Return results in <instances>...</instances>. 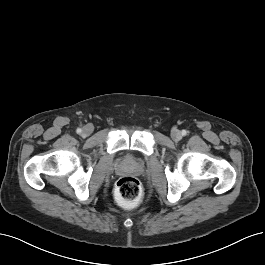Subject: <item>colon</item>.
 <instances>
[{"mask_svg":"<svg viewBox=\"0 0 265 265\" xmlns=\"http://www.w3.org/2000/svg\"><path fill=\"white\" fill-rule=\"evenodd\" d=\"M118 198L127 203H134L141 196V185L134 177H123L116 184Z\"/></svg>","mask_w":265,"mask_h":265,"instance_id":"colon-1","label":"colon"}]
</instances>
